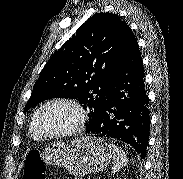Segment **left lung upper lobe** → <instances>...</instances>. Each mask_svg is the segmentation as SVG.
Listing matches in <instances>:
<instances>
[{
    "mask_svg": "<svg viewBox=\"0 0 183 179\" xmlns=\"http://www.w3.org/2000/svg\"><path fill=\"white\" fill-rule=\"evenodd\" d=\"M129 26L120 16L96 13L51 57L34 84L28 111L46 99H77L88 109L90 128L107 100Z\"/></svg>",
    "mask_w": 183,
    "mask_h": 179,
    "instance_id": "5c2ea615",
    "label": "left lung upper lobe"
}]
</instances>
